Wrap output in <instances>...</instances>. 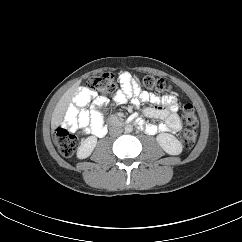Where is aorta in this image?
<instances>
[{
	"label": "aorta",
	"mask_w": 242,
	"mask_h": 242,
	"mask_svg": "<svg viewBox=\"0 0 242 242\" xmlns=\"http://www.w3.org/2000/svg\"><path fill=\"white\" fill-rule=\"evenodd\" d=\"M124 129L126 133H131L133 131V127L130 124L126 125Z\"/></svg>",
	"instance_id": "obj_1"
}]
</instances>
